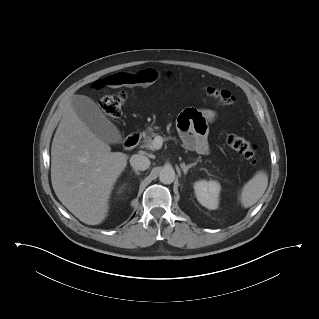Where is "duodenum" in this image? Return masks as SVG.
Returning <instances> with one entry per match:
<instances>
[{"mask_svg":"<svg viewBox=\"0 0 319 319\" xmlns=\"http://www.w3.org/2000/svg\"><path fill=\"white\" fill-rule=\"evenodd\" d=\"M140 135L138 133H131L128 135L123 143V147L127 150L133 149L139 142Z\"/></svg>","mask_w":319,"mask_h":319,"instance_id":"obj_1","label":"duodenum"}]
</instances>
